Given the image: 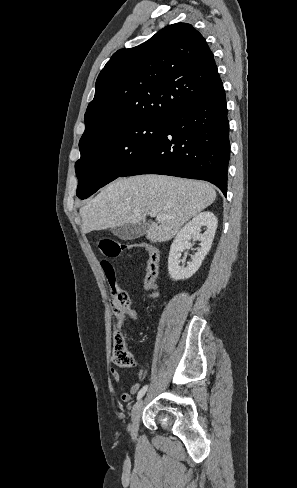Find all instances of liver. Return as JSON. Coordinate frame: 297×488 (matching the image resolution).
Wrapping results in <instances>:
<instances>
[{
	"label": "liver",
	"instance_id": "obj_1",
	"mask_svg": "<svg viewBox=\"0 0 297 488\" xmlns=\"http://www.w3.org/2000/svg\"><path fill=\"white\" fill-rule=\"evenodd\" d=\"M216 198L206 182L164 175L118 178L80 208L82 231L89 233L144 221L147 213L165 216L146 233L151 242L171 240L179 229Z\"/></svg>",
	"mask_w": 297,
	"mask_h": 488
}]
</instances>
